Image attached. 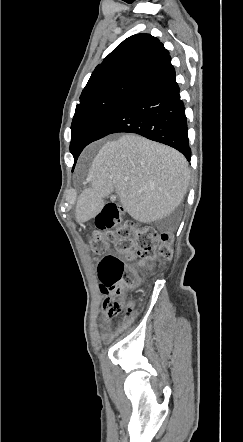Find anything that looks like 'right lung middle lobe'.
Here are the masks:
<instances>
[{
    "label": "right lung middle lobe",
    "mask_w": 243,
    "mask_h": 442,
    "mask_svg": "<svg viewBox=\"0 0 243 442\" xmlns=\"http://www.w3.org/2000/svg\"><path fill=\"white\" fill-rule=\"evenodd\" d=\"M119 90L80 102L71 125L70 152L76 163L82 150L111 111L130 93Z\"/></svg>",
    "instance_id": "dd1d6c3e"
}]
</instances>
